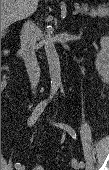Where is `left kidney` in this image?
I'll return each instance as SVG.
<instances>
[{"mask_svg":"<svg viewBox=\"0 0 109 170\" xmlns=\"http://www.w3.org/2000/svg\"><path fill=\"white\" fill-rule=\"evenodd\" d=\"M101 51L97 55L96 69L101 75H107L109 72V48L107 37L101 38Z\"/></svg>","mask_w":109,"mask_h":170,"instance_id":"obj_1","label":"left kidney"}]
</instances>
